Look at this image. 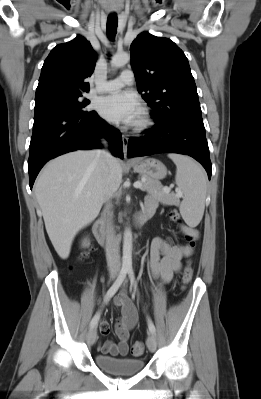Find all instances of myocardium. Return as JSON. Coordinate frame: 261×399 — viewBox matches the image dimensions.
Masks as SVG:
<instances>
[{
	"label": "myocardium",
	"instance_id": "obj_1",
	"mask_svg": "<svg viewBox=\"0 0 261 399\" xmlns=\"http://www.w3.org/2000/svg\"><path fill=\"white\" fill-rule=\"evenodd\" d=\"M152 124L150 118L148 117V115H143L134 125V130L136 132H143L145 130H147L150 125Z\"/></svg>",
	"mask_w": 261,
	"mask_h": 399
}]
</instances>
